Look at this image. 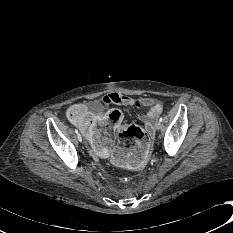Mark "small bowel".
Returning <instances> with one entry per match:
<instances>
[{
  "label": "small bowel",
  "instance_id": "small-bowel-1",
  "mask_svg": "<svg viewBox=\"0 0 233 233\" xmlns=\"http://www.w3.org/2000/svg\"><path fill=\"white\" fill-rule=\"evenodd\" d=\"M109 105L146 109L147 111L141 113L139 117L147 130L151 132L156 118L163 111V104L151 97L135 99L113 92L91 103L88 109L83 110L81 116L73 121L89 140L95 155L106 158L110 163L123 165L126 169L140 170L149 155V148L142 143L134 144L131 148L115 145V140L107 134L106 129L112 125L114 131L118 133L123 115L117 109H111L107 113L103 112V107Z\"/></svg>",
  "mask_w": 233,
  "mask_h": 233
}]
</instances>
